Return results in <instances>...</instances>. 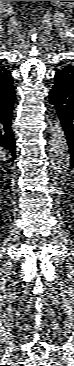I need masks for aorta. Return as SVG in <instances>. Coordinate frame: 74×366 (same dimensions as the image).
Segmentation results:
<instances>
[{
	"mask_svg": "<svg viewBox=\"0 0 74 366\" xmlns=\"http://www.w3.org/2000/svg\"><path fill=\"white\" fill-rule=\"evenodd\" d=\"M50 145L51 171L56 174L65 169L69 163L67 139L58 118L52 121Z\"/></svg>",
	"mask_w": 74,
	"mask_h": 366,
	"instance_id": "aorta-1",
	"label": "aorta"
}]
</instances>
